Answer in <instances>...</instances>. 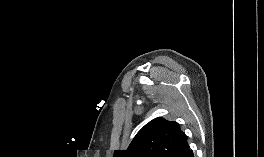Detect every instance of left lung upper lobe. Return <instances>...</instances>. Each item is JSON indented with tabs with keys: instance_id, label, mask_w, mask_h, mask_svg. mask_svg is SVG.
<instances>
[{
	"instance_id": "5c2ea615",
	"label": "left lung upper lobe",
	"mask_w": 264,
	"mask_h": 157,
	"mask_svg": "<svg viewBox=\"0 0 264 157\" xmlns=\"http://www.w3.org/2000/svg\"><path fill=\"white\" fill-rule=\"evenodd\" d=\"M192 154L180 125L159 117L147 123L126 150H115L114 157H191Z\"/></svg>"
}]
</instances>
